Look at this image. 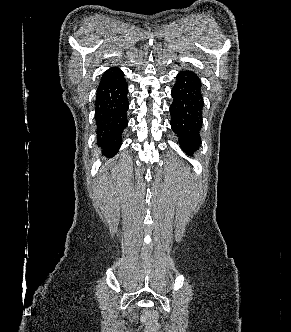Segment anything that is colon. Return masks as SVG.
<instances>
[{
	"instance_id": "1",
	"label": "colon",
	"mask_w": 291,
	"mask_h": 332,
	"mask_svg": "<svg viewBox=\"0 0 291 332\" xmlns=\"http://www.w3.org/2000/svg\"><path fill=\"white\" fill-rule=\"evenodd\" d=\"M143 319L146 323V331L145 332H157L159 329V324H158V317L157 314L153 311H147Z\"/></svg>"
}]
</instances>
